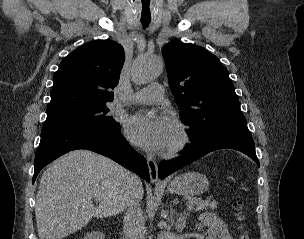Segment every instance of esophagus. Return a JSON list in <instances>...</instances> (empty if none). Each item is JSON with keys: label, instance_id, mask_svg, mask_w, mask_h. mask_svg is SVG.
Wrapping results in <instances>:
<instances>
[{"label": "esophagus", "instance_id": "esophagus-1", "mask_svg": "<svg viewBox=\"0 0 304 239\" xmlns=\"http://www.w3.org/2000/svg\"><path fill=\"white\" fill-rule=\"evenodd\" d=\"M146 160H147V164H148L151 182L154 184H160L161 181L159 180V177H158L157 163L155 162V160L152 157H147Z\"/></svg>", "mask_w": 304, "mask_h": 239}]
</instances>
